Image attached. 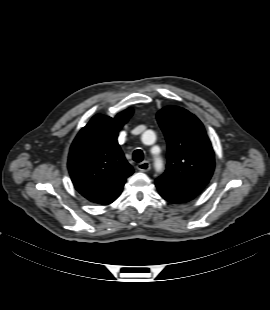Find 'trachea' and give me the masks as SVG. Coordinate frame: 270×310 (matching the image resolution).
<instances>
[{
	"instance_id": "1",
	"label": "trachea",
	"mask_w": 270,
	"mask_h": 310,
	"mask_svg": "<svg viewBox=\"0 0 270 310\" xmlns=\"http://www.w3.org/2000/svg\"><path fill=\"white\" fill-rule=\"evenodd\" d=\"M143 158H144V154H143V151L140 150V149H137L133 152V156H132V159L135 161V162H142L143 161Z\"/></svg>"
}]
</instances>
